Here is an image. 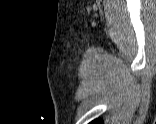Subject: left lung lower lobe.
Wrapping results in <instances>:
<instances>
[{"mask_svg":"<svg viewBox=\"0 0 156 124\" xmlns=\"http://www.w3.org/2000/svg\"><path fill=\"white\" fill-rule=\"evenodd\" d=\"M90 124H102L101 120H94Z\"/></svg>","mask_w":156,"mask_h":124,"instance_id":"obj_1","label":"left lung lower lobe"}]
</instances>
